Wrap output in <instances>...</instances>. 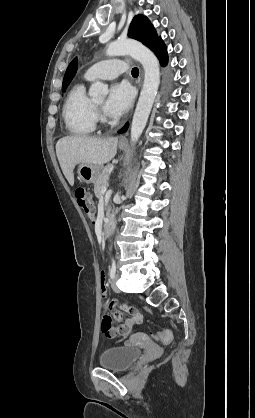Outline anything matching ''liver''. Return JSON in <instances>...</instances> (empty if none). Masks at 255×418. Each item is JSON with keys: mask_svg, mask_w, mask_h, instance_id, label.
Listing matches in <instances>:
<instances>
[{"mask_svg": "<svg viewBox=\"0 0 255 418\" xmlns=\"http://www.w3.org/2000/svg\"><path fill=\"white\" fill-rule=\"evenodd\" d=\"M118 138L100 139L86 136H67L56 143V154L68 183L74 185L73 170L78 164L103 166L117 152Z\"/></svg>", "mask_w": 255, "mask_h": 418, "instance_id": "obj_1", "label": "liver"}]
</instances>
